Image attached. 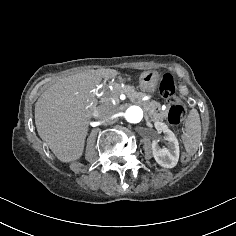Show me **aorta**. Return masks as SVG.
<instances>
[{"instance_id":"762f6f07","label":"aorta","mask_w":236,"mask_h":236,"mask_svg":"<svg viewBox=\"0 0 236 236\" xmlns=\"http://www.w3.org/2000/svg\"><path fill=\"white\" fill-rule=\"evenodd\" d=\"M127 122L137 124L144 118V112L141 107L133 105L126 109L123 114Z\"/></svg>"}]
</instances>
